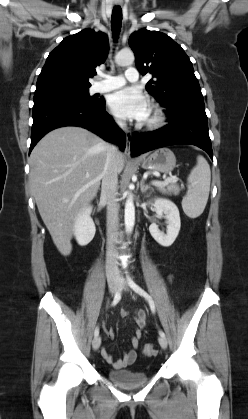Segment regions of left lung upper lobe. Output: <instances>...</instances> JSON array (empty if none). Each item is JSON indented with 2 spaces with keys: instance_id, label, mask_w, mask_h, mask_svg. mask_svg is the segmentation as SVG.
Wrapping results in <instances>:
<instances>
[{
  "instance_id": "5c2ea615",
  "label": "left lung upper lobe",
  "mask_w": 248,
  "mask_h": 419,
  "mask_svg": "<svg viewBox=\"0 0 248 419\" xmlns=\"http://www.w3.org/2000/svg\"><path fill=\"white\" fill-rule=\"evenodd\" d=\"M129 45L142 75L151 73L147 91L166 112L188 106H204L203 95L193 65L182 47L168 35L146 29L134 32Z\"/></svg>"
}]
</instances>
